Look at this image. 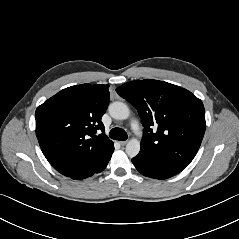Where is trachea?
Returning a JSON list of instances; mask_svg holds the SVG:
<instances>
[{
	"instance_id": "1",
	"label": "trachea",
	"mask_w": 239,
	"mask_h": 239,
	"mask_svg": "<svg viewBox=\"0 0 239 239\" xmlns=\"http://www.w3.org/2000/svg\"><path fill=\"white\" fill-rule=\"evenodd\" d=\"M109 136L111 139L119 141H125L128 138L127 133L122 128L118 127L113 128L110 131Z\"/></svg>"
}]
</instances>
